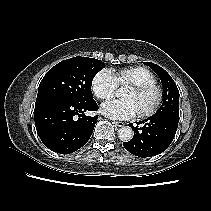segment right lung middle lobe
Instances as JSON below:
<instances>
[{"label": "right lung middle lobe", "instance_id": "dd1d6c3e", "mask_svg": "<svg viewBox=\"0 0 211 211\" xmlns=\"http://www.w3.org/2000/svg\"><path fill=\"white\" fill-rule=\"evenodd\" d=\"M105 64L97 59L74 57L52 67L43 77L36 102L59 100L75 103L93 101L91 84Z\"/></svg>", "mask_w": 211, "mask_h": 211}]
</instances>
